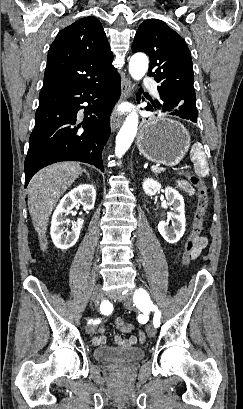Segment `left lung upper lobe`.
<instances>
[{"label": "left lung upper lobe", "instance_id": "obj_1", "mask_svg": "<svg viewBox=\"0 0 243 409\" xmlns=\"http://www.w3.org/2000/svg\"><path fill=\"white\" fill-rule=\"evenodd\" d=\"M132 50L149 56L148 75L159 83L160 94L195 104L191 54L178 33L158 19H147L136 32Z\"/></svg>", "mask_w": 243, "mask_h": 409}]
</instances>
